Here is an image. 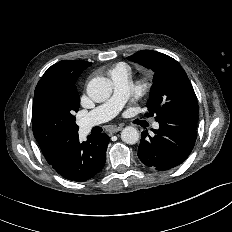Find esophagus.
<instances>
[{
	"label": "esophagus",
	"mask_w": 232,
	"mask_h": 232,
	"mask_svg": "<svg viewBox=\"0 0 232 232\" xmlns=\"http://www.w3.org/2000/svg\"><path fill=\"white\" fill-rule=\"evenodd\" d=\"M123 129V126H112L110 129H109V132L111 133V134H113V133H117V132H119V131H121Z\"/></svg>",
	"instance_id": "esophagus-1"
}]
</instances>
